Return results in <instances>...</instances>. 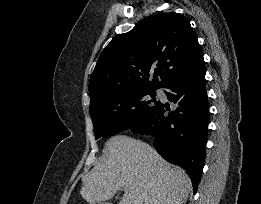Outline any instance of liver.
Instances as JSON below:
<instances>
[{"mask_svg":"<svg viewBox=\"0 0 261 204\" xmlns=\"http://www.w3.org/2000/svg\"><path fill=\"white\" fill-rule=\"evenodd\" d=\"M103 154L104 161L82 178L80 194L88 203L109 200L127 185L118 204H185L190 178L149 144L117 135L105 143Z\"/></svg>","mask_w":261,"mask_h":204,"instance_id":"obj_1","label":"liver"}]
</instances>
